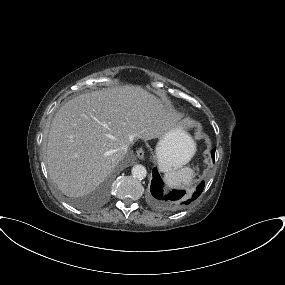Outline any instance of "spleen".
I'll use <instances>...</instances> for the list:
<instances>
[{
	"instance_id": "obj_1",
	"label": "spleen",
	"mask_w": 285,
	"mask_h": 285,
	"mask_svg": "<svg viewBox=\"0 0 285 285\" xmlns=\"http://www.w3.org/2000/svg\"><path fill=\"white\" fill-rule=\"evenodd\" d=\"M161 170L165 172L163 177L165 183L171 188L189 186L195 177L194 170L189 167H184L178 171H167L163 169Z\"/></svg>"
}]
</instances>
